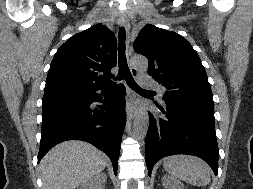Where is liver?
<instances>
[{"instance_id": "1", "label": "liver", "mask_w": 253, "mask_h": 189, "mask_svg": "<svg viewBox=\"0 0 253 189\" xmlns=\"http://www.w3.org/2000/svg\"><path fill=\"white\" fill-rule=\"evenodd\" d=\"M107 162V156L89 143H60L40 162L42 189H75L102 172Z\"/></svg>"}]
</instances>
